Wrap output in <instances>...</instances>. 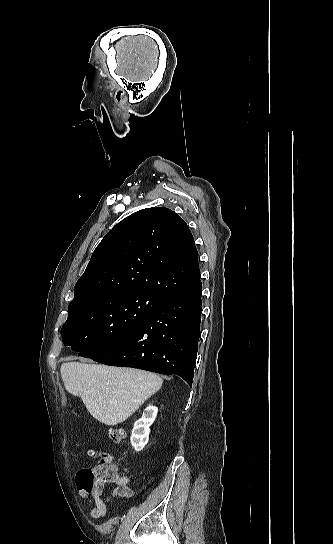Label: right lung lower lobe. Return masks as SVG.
Listing matches in <instances>:
<instances>
[{
	"mask_svg": "<svg viewBox=\"0 0 333 544\" xmlns=\"http://www.w3.org/2000/svg\"><path fill=\"white\" fill-rule=\"evenodd\" d=\"M201 282L170 296L136 328L83 357L120 367L177 374L193 381L201 322Z\"/></svg>",
	"mask_w": 333,
	"mask_h": 544,
	"instance_id": "1",
	"label": "right lung lower lobe"
}]
</instances>
